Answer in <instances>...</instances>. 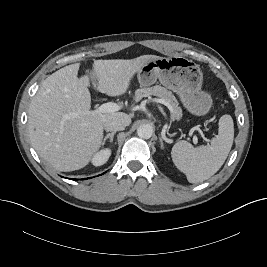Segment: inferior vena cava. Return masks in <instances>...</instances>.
Segmentation results:
<instances>
[{
	"label": "inferior vena cava",
	"mask_w": 267,
	"mask_h": 267,
	"mask_svg": "<svg viewBox=\"0 0 267 267\" xmlns=\"http://www.w3.org/2000/svg\"><path fill=\"white\" fill-rule=\"evenodd\" d=\"M127 126L126 122L122 119L114 118L107 120L104 124V129L106 131H121L124 130L125 127Z\"/></svg>",
	"instance_id": "obj_1"
}]
</instances>
